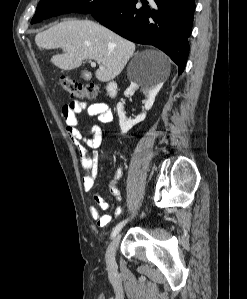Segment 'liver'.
Returning <instances> with one entry per match:
<instances>
[{
    "instance_id": "1",
    "label": "liver",
    "mask_w": 247,
    "mask_h": 299,
    "mask_svg": "<svg viewBox=\"0 0 247 299\" xmlns=\"http://www.w3.org/2000/svg\"><path fill=\"white\" fill-rule=\"evenodd\" d=\"M39 48H61L62 54L54 55L51 62L62 70H73L86 59L97 61L95 72L101 82L118 76L135 51V44L91 20H68L40 32L35 37ZM163 70V79L170 73L166 55L153 51Z\"/></svg>"
}]
</instances>
